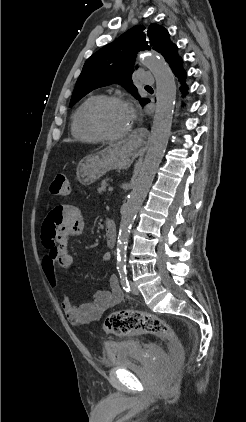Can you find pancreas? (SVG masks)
Segmentation results:
<instances>
[{
  "instance_id": "pancreas-1",
  "label": "pancreas",
  "mask_w": 246,
  "mask_h": 422,
  "mask_svg": "<svg viewBox=\"0 0 246 422\" xmlns=\"http://www.w3.org/2000/svg\"><path fill=\"white\" fill-rule=\"evenodd\" d=\"M107 181H108V179L102 180L101 186L98 188V192L99 193H102V192H104L106 190Z\"/></svg>"
}]
</instances>
